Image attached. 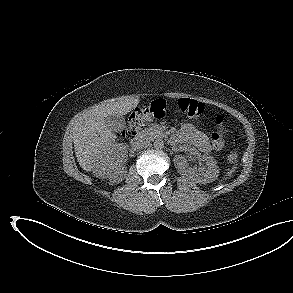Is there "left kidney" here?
<instances>
[{
  "label": "left kidney",
  "mask_w": 293,
  "mask_h": 293,
  "mask_svg": "<svg viewBox=\"0 0 293 293\" xmlns=\"http://www.w3.org/2000/svg\"><path fill=\"white\" fill-rule=\"evenodd\" d=\"M201 161L204 165L198 169H194L188 166L187 159L184 156L177 155L174 158V164L181 175L201 184L215 181L219 175L217 161L212 156L208 155H203Z\"/></svg>",
  "instance_id": "5707ae66"
}]
</instances>
